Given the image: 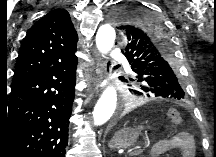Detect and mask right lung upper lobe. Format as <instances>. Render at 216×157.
<instances>
[{
    "mask_svg": "<svg viewBox=\"0 0 216 157\" xmlns=\"http://www.w3.org/2000/svg\"><path fill=\"white\" fill-rule=\"evenodd\" d=\"M78 36L69 13L55 9L38 20L23 40L11 87H17L45 69L77 59Z\"/></svg>",
    "mask_w": 216,
    "mask_h": 157,
    "instance_id": "right-lung-upper-lobe-1",
    "label": "right lung upper lobe"
}]
</instances>
